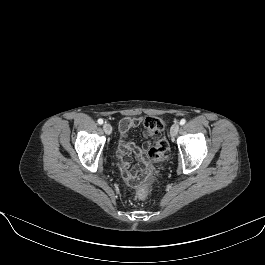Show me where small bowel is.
I'll list each match as a JSON object with an SVG mask.
<instances>
[{"label": "small bowel", "mask_w": 265, "mask_h": 265, "mask_svg": "<svg viewBox=\"0 0 265 265\" xmlns=\"http://www.w3.org/2000/svg\"><path fill=\"white\" fill-rule=\"evenodd\" d=\"M143 124L142 119L138 118H125L119 125L120 131V146L118 150V158L120 160V170L123 178L127 183L135 182V172L130 170V156L134 154L142 157L146 151L150 148V142L146 141L141 146L135 145L128 139V132L130 129Z\"/></svg>", "instance_id": "1"}]
</instances>
